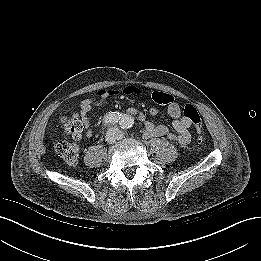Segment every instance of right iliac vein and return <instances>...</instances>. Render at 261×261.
<instances>
[{
	"instance_id": "obj_1",
	"label": "right iliac vein",
	"mask_w": 261,
	"mask_h": 261,
	"mask_svg": "<svg viewBox=\"0 0 261 261\" xmlns=\"http://www.w3.org/2000/svg\"><path fill=\"white\" fill-rule=\"evenodd\" d=\"M106 140H107V142H108L109 144H112V143L115 141V136H114V134H112V133L108 134L107 137H106Z\"/></svg>"
}]
</instances>
